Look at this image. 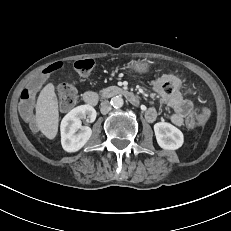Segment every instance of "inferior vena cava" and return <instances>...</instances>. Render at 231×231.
<instances>
[{
	"label": "inferior vena cava",
	"mask_w": 231,
	"mask_h": 231,
	"mask_svg": "<svg viewBox=\"0 0 231 231\" xmlns=\"http://www.w3.org/2000/svg\"><path fill=\"white\" fill-rule=\"evenodd\" d=\"M100 111L103 115H106L109 111H111V105L108 101L102 102Z\"/></svg>",
	"instance_id": "602c4592"
}]
</instances>
